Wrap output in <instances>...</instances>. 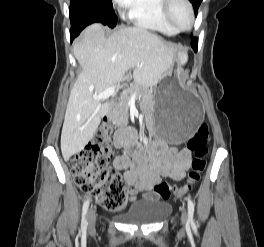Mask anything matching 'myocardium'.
Returning <instances> with one entry per match:
<instances>
[{
	"instance_id": "1",
	"label": "myocardium",
	"mask_w": 264,
	"mask_h": 247,
	"mask_svg": "<svg viewBox=\"0 0 264 247\" xmlns=\"http://www.w3.org/2000/svg\"><path fill=\"white\" fill-rule=\"evenodd\" d=\"M177 2H182L184 3L190 13V22L186 27H180L176 24L174 18H173V7ZM163 13L165 15V18L167 19V21L172 25V27L178 31V32H182V31H187L189 30L194 22H195V11H194V7L191 3L190 0H164L163 2Z\"/></svg>"
}]
</instances>
